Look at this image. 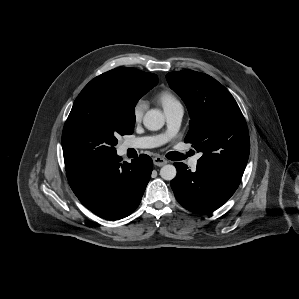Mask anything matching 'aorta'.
Returning a JSON list of instances; mask_svg holds the SVG:
<instances>
[{
	"label": "aorta",
	"mask_w": 299,
	"mask_h": 299,
	"mask_svg": "<svg viewBox=\"0 0 299 299\" xmlns=\"http://www.w3.org/2000/svg\"><path fill=\"white\" fill-rule=\"evenodd\" d=\"M143 124L148 130H160L165 124L164 115L157 109H151L144 115ZM176 174L177 171L174 165H164L160 170V176L164 180H173L176 177Z\"/></svg>",
	"instance_id": "obj_1"
}]
</instances>
